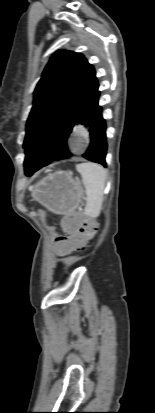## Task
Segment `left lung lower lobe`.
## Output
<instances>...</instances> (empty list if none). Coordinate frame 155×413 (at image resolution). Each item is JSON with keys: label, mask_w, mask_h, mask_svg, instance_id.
I'll use <instances>...</instances> for the list:
<instances>
[{"label": "left lung lower lobe", "mask_w": 155, "mask_h": 413, "mask_svg": "<svg viewBox=\"0 0 155 413\" xmlns=\"http://www.w3.org/2000/svg\"><path fill=\"white\" fill-rule=\"evenodd\" d=\"M100 92L98 89L92 95L88 103L79 115L77 125H83L90 136V146L86 153L83 155L90 161L97 162L106 166L105 156L107 150L106 134H105V120L101 114V107L98 105ZM70 132L65 131L55 139V144L59 146V151L56 152L48 161L38 165L29 172H26L27 176H31L35 171L48 165L53 160H59L71 156V153L67 149V138Z\"/></svg>", "instance_id": "1"}]
</instances>
